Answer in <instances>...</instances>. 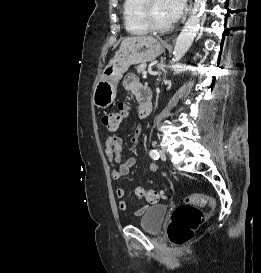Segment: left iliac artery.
<instances>
[{"label":"left iliac artery","mask_w":261,"mask_h":273,"mask_svg":"<svg viewBox=\"0 0 261 273\" xmlns=\"http://www.w3.org/2000/svg\"><path fill=\"white\" fill-rule=\"evenodd\" d=\"M149 155L154 160L159 159V153L155 149L151 150L150 153H149Z\"/></svg>","instance_id":"obj_1"}]
</instances>
